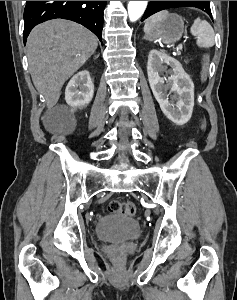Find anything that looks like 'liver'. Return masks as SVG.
Returning <instances> with one entry per match:
<instances>
[{
	"mask_svg": "<svg viewBox=\"0 0 237 300\" xmlns=\"http://www.w3.org/2000/svg\"><path fill=\"white\" fill-rule=\"evenodd\" d=\"M97 39L72 21L54 19L37 25L27 39V59L34 87L48 107L58 103L61 89L97 49Z\"/></svg>",
	"mask_w": 237,
	"mask_h": 300,
	"instance_id": "1",
	"label": "liver"
}]
</instances>
